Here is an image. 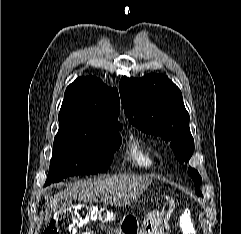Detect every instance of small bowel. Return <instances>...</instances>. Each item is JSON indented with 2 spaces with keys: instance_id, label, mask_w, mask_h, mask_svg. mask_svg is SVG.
<instances>
[{
  "instance_id": "obj_1",
  "label": "small bowel",
  "mask_w": 241,
  "mask_h": 234,
  "mask_svg": "<svg viewBox=\"0 0 241 234\" xmlns=\"http://www.w3.org/2000/svg\"><path fill=\"white\" fill-rule=\"evenodd\" d=\"M81 234H92V233H91V232L86 231V232H82ZM112 234H116V232H113Z\"/></svg>"
}]
</instances>
